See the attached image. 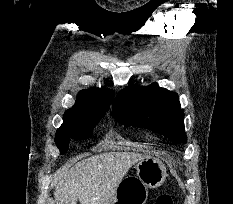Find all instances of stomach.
Returning <instances> with one entry per match:
<instances>
[{
	"instance_id": "obj_1",
	"label": "stomach",
	"mask_w": 233,
	"mask_h": 204,
	"mask_svg": "<svg viewBox=\"0 0 233 204\" xmlns=\"http://www.w3.org/2000/svg\"><path fill=\"white\" fill-rule=\"evenodd\" d=\"M137 177L123 179L111 204H145L148 188L161 186L166 177V167L154 157H144L135 165Z\"/></svg>"
}]
</instances>
